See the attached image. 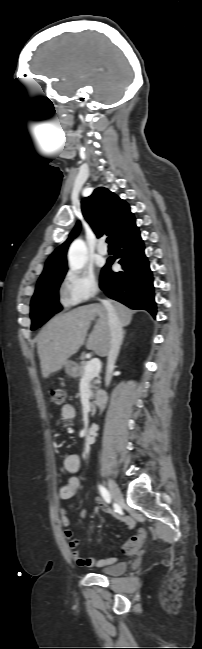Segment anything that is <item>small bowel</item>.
<instances>
[{
    "instance_id": "1",
    "label": "small bowel",
    "mask_w": 202,
    "mask_h": 649,
    "mask_svg": "<svg viewBox=\"0 0 202 649\" xmlns=\"http://www.w3.org/2000/svg\"><path fill=\"white\" fill-rule=\"evenodd\" d=\"M61 418L65 421L73 420L76 416V409L72 404H65L62 406L60 411ZM64 469L71 475L65 480V483L60 489L59 496L61 500L67 501L70 500L80 488V479L75 475L79 472L81 467L80 457L77 454L68 455L63 463ZM94 506L100 509L105 510L106 504L100 498H97L93 502ZM72 509V506H68L60 511V520L62 525L66 528L64 531V536L68 540V548L71 553V557L74 562L80 567H89V568H100L110 564H113L117 561V558H97V557H84L79 551L78 547L80 541L74 538L73 531L68 527L71 524L69 511ZM88 509H84L81 512V518L86 519L88 516Z\"/></svg>"
}]
</instances>
